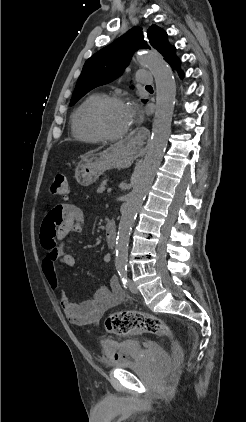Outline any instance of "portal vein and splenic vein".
I'll return each mask as SVG.
<instances>
[{
  "label": "portal vein and splenic vein",
  "instance_id": "portal-vein-and-splenic-vein-1",
  "mask_svg": "<svg viewBox=\"0 0 246 422\" xmlns=\"http://www.w3.org/2000/svg\"><path fill=\"white\" fill-rule=\"evenodd\" d=\"M112 191V188H108L107 192L110 193Z\"/></svg>",
  "mask_w": 246,
  "mask_h": 422
}]
</instances>
